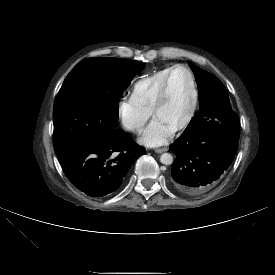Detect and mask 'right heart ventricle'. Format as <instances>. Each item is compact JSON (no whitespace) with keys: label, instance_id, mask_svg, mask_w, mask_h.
Here are the masks:
<instances>
[{"label":"right heart ventricle","instance_id":"1","mask_svg":"<svg viewBox=\"0 0 275 275\" xmlns=\"http://www.w3.org/2000/svg\"><path fill=\"white\" fill-rule=\"evenodd\" d=\"M171 68L160 69L135 82L132 88V98L142 107L152 111L164 80Z\"/></svg>","mask_w":275,"mask_h":275}]
</instances>
